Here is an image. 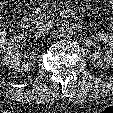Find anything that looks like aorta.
Segmentation results:
<instances>
[{"label": "aorta", "instance_id": "obj_1", "mask_svg": "<svg viewBox=\"0 0 113 113\" xmlns=\"http://www.w3.org/2000/svg\"><path fill=\"white\" fill-rule=\"evenodd\" d=\"M59 32L64 38H71L76 33V25L72 22L66 21L61 24Z\"/></svg>", "mask_w": 113, "mask_h": 113}]
</instances>
